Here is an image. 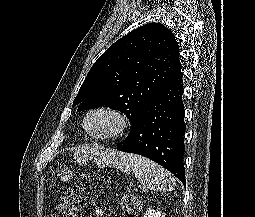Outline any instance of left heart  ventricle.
<instances>
[{
    "label": "left heart ventricle",
    "instance_id": "b2bd125f",
    "mask_svg": "<svg viewBox=\"0 0 255 217\" xmlns=\"http://www.w3.org/2000/svg\"><path fill=\"white\" fill-rule=\"evenodd\" d=\"M114 124V119L111 116L98 113L90 116L86 127L90 132L100 134L110 131L114 127Z\"/></svg>",
    "mask_w": 255,
    "mask_h": 217
}]
</instances>
